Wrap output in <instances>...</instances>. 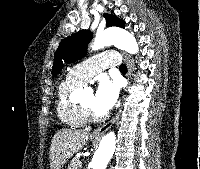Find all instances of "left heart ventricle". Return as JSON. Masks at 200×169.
Listing matches in <instances>:
<instances>
[{"label": "left heart ventricle", "mask_w": 200, "mask_h": 169, "mask_svg": "<svg viewBox=\"0 0 200 169\" xmlns=\"http://www.w3.org/2000/svg\"><path fill=\"white\" fill-rule=\"evenodd\" d=\"M84 103L86 105H88L89 107H91L97 114H101L96 106V98H95V94L93 92L89 93L86 96Z\"/></svg>", "instance_id": "b2bd125f"}]
</instances>
